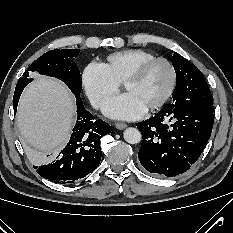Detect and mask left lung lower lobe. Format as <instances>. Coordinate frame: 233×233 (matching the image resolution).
<instances>
[{
  "label": "left lung lower lobe",
  "instance_id": "left-lung-lower-lobe-1",
  "mask_svg": "<svg viewBox=\"0 0 233 233\" xmlns=\"http://www.w3.org/2000/svg\"><path fill=\"white\" fill-rule=\"evenodd\" d=\"M213 121L211 112L166 105L154 117L137 124L143 139L140 163L160 176L187 171L205 148Z\"/></svg>",
  "mask_w": 233,
  "mask_h": 233
}]
</instances>
